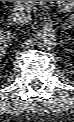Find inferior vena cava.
I'll return each instance as SVG.
<instances>
[{
	"label": "inferior vena cava",
	"instance_id": "602c4592",
	"mask_svg": "<svg viewBox=\"0 0 74 122\" xmlns=\"http://www.w3.org/2000/svg\"><path fill=\"white\" fill-rule=\"evenodd\" d=\"M10 20L14 25L25 26L31 23L32 17L31 15L20 10L12 13Z\"/></svg>",
	"mask_w": 74,
	"mask_h": 122
}]
</instances>
